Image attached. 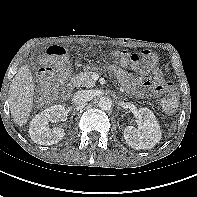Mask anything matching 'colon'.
I'll list each match as a JSON object with an SVG mask.
<instances>
[{"instance_id": "1", "label": "colon", "mask_w": 197, "mask_h": 197, "mask_svg": "<svg viewBox=\"0 0 197 197\" xmlns=\"http://www.w3.org/2000/svg\"><path fill=\"white\" fill-rule=\"evenodd\" d=\"M117 54L122 60L131 62L143 71L152 69L158 61L157 54L151 49L133 53L123 50ZM46 59L50 67L41 75L40 84L42 87L41 94L49 96L55 90L56 85L67 78L69 63L66 50L59 46L50 47ZM177 103V93L170 88L167 97L162 102V107L166 112H172L176 109Z\"/></svg>"}]
</instances>
